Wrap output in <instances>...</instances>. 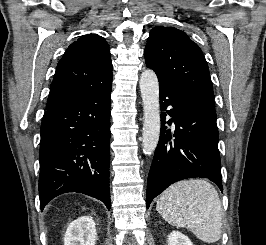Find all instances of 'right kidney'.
<instances>
[{
    "label": "right kidney",
    "mask_w": 266,
    "mask_h": 245,
    "mask_svg": "<svg viewBox=\"0 0 266 245\" xmlns=\"http://www.w3.org/2000/svg\"><path fill=\"white\" fill-rule=\"evenodd\" d=\"M75 233V245H95L96 227L92 217H79L72 221Z\"/></svg>",
    "instance_id": "ca27d5eb"
}]
</instances>
